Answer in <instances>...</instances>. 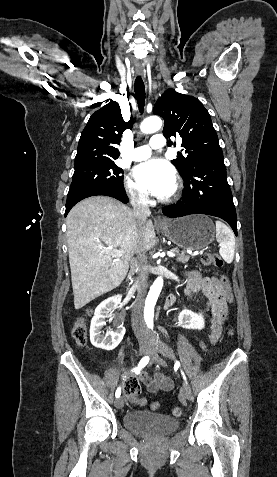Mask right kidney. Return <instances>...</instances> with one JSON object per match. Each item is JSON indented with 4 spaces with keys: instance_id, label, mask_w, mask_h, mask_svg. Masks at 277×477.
Returning a JSON list of instances; mask_svg holds the SVG:
<instances>
[{
    "instance_id": "1",
    "label": "right kidney",
    "mask_w": 277,
    "mask_h": 477,
    "mask_svg": "<svg viewBox=\"0 0 277 477\" xmlns=\"http://www.w3.org/2000/svg\"><path fill=\"white\" fill-rule=\"evenodd\" d=\"M122 296L109 297L101 302L95 309L90 326V340L93 346L107 351L115 349L122 341L125 327L119 325L114 331L102 335V328L106 325L105 318L112 309H116L121 303Z\"/></svg>"
}]
</instances>
